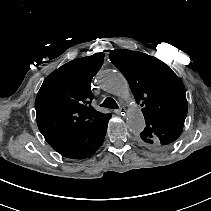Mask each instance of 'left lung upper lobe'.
<instances>
[{
    "mask_svg": "<svg viewBox=\"0 0 211 211\" xmlns=\"http://www.w3.org/2000/svg\"><path fill=\"white\" fill-rule=\"evenodd\" d=\"M109 58L126 77L142 107L146 123L140 133L143 144L161 150L176 141L188 110L181 79L165 63L142 52L116 50Z\"/></svg>",
    "mask_w": 211,
    "mask_h": 211,
    "instance_id": "1",
    "label": "left lung upper lobe"
}]
</instances>
